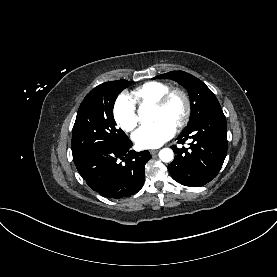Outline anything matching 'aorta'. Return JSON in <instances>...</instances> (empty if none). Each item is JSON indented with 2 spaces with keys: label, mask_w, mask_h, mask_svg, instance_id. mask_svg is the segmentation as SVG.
<instances>
[{
  "label": "aorta",
  "mask_w": 277,
  "mask_h": 277,
  "mask_svg": "<svg viewBox=\"0 0 277 277\" xmlns=\"http://www.w3.org/2000/svg\"><path fill=\"white\" fill-rule=\"evenodd\" d=\"M139 118L147 124L153 122V115L150 107L141 105L138 109ZM159 158L161 161L168 163L171 162L174 158V153L170 148H163L159 152Z\"/></svg>",
  "instance_id": "obj_1"
}]
</instances>
